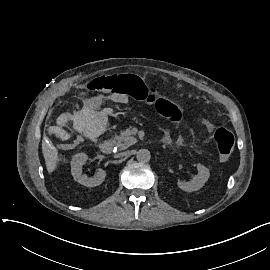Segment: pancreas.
<instances>
[{
	"label": "pancreas",
	"mask_w": 270,
	"mask_h": 270,
	"mask_svg": "<svg viewBox=\"0 0 270 270\" xmlns=\"http://www.w3.org/2000/svg\"><path fill=\"white\" fill-rule=\"evenodd\" d=\"M115 139L117 140L116 146L120 150L127 149L136 142V139L131 136L130 129H126L125 131L121 132L120 136H115Z\"/></svg>",
	"instance_id": "cf45deb5"
}]
</instances>
